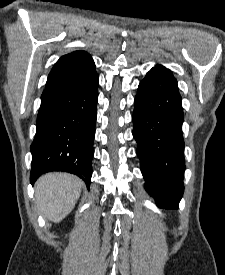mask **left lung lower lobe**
<instances>
[{
  "label": "left lung lower lobe",
  "mask_w": 225,
  "mask_h": 275,
  "mask_svg": "<svg viewBox=\"0 0 225 275\" xmlns=\"http://www.w3.org/2000/svg\"><path fill=\"white\" fill-rule=\"evenodd\" d=\"M176 79L151 69L134 101L133 136L145 189L159 207L178 208L185 170L184 114Z\"/></svg>",
  "instance_id": "0a47b994"
}]
</instances>
